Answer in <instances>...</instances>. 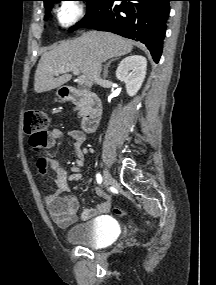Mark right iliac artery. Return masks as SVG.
Wrapping results in <instances>:
<instances>
[{"instance_id":"obj_1","label":"right iliac artery","mask_w":216,"mask_h":285,"mask_svg":"<svg viewBox=\"0 0 216 285\" xmlns=\"http://www.w3.org/2000/svg\"><path fill=\"white\" fill-rule=\"evenodd\" d=\"M96 180H97L98 184H101V183H102V176H101L100 173H97V175H96Z\"/></svg>"}]
</instances>
